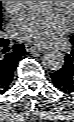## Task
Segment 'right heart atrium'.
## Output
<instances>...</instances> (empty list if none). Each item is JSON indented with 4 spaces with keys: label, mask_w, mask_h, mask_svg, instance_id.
<instances>
[{
    "label": "right heart atrium",
    "mask_w": 74,
    "mask_h": 122,
    "mask_svg": "<svg viewBox=\"0 0 74 122\" xmlns=\"http://www.w3.org/2000/svg\"><path fill=\"white\" fill-rule=\"evenodd\" d=\"M23 1H2L5 11L10 15H16L22 8Z\"/></svg>",
    "instance_id": "d8ad5b80"
}]
</instances>
